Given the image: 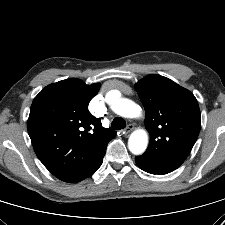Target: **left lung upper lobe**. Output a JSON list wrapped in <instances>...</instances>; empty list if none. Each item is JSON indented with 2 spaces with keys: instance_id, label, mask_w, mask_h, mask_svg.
Instances as JSON below:
<instances>
[{
  "instance_id": "5c2ea615",
  "label": "left lung upper lobe",
  "mask_w": 225,
  "mask_h": 225,
  "mask_svg": "<svg viewBox=\"0 0 225 225\" xmlns=\"http://www.w3.org/2000/svg\"><path fill=\"white\" fill-rule=\"evenodd\" d=\"M145 108L150 143L144 154L179 167L192 150L201 128L195 96L172 80L152 74L135 85Z\"/></svg>"
}]
</instances>
